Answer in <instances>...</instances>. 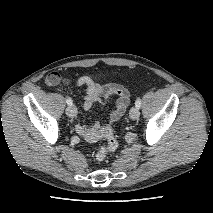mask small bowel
Here are the masks:
<instances>
[{"label": "small bowel", "mask_w": 213, "mask_h": 213, "mask_svg": "<svg viewBox=\"0 0 213 213\" xmlns=\"http://www.w3.org/2000/svg\"><path fill=\"white\" fill-rule=\"evenodd\" d=\"M52 78H55L53 80ZM61 78L58 73L54 72L46 77L45 83L47 86L52 87L60 82ZM75 84L79 87L84 86L85 96L83 101V109L89 111L94 103L99 100L101 95L108 97L112 94H117L120 98L117 100L115 109L111 114V122L118 120L123 114L127 104L129 103L128 92L118 84H110L103 87L99 83L93 81L89 76L79 77ZM76 131L79 135L84 137L89 142H95L103 137V128L100 124H94L88 127L84 124H76Z\"/></svg>", "instance_id": "obj_1"}]
</instances>
